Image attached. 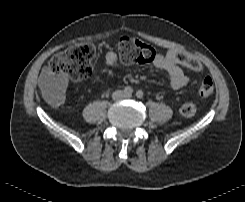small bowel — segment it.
<instances>
[{"mask_svg":"<svg viewBox=\"0 0 245 202\" xmlns=\"http://www.w3.org/2000/svg\"><path fill=\"white\" fill-rule=\"evenodd\" d=\"M178 52L176 49H169L165 54L157 52L156 58L152 61V65L155 68L163 70L168 74L171 86L174 89H181L188 83V77L176 61V54ZM104 62L108 67H114L118 62V55L114 51H108L104 55ZM67 86L68 83L64 78L56 77L47 68H44L41 83L43 91L53 88L67 89Z\"/></svg>","mask_w":245,"mask_h":202,"instance_id":"1","label":"small bowel"}]
</instances>
